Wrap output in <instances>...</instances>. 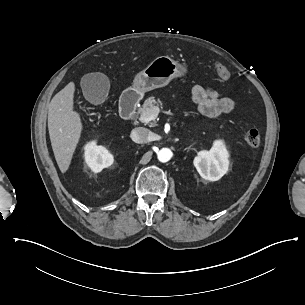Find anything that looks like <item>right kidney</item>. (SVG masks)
Returning <instances> with one entry per match:
<instances>
[{"mask_svg": "<svg viewBox=\"0 0 305 305\" xmlns=\"http://www.w3.org/2000/svg\"><path fill=\"white\" fill-rule=\"evenodd\" d=\"M86 163L94 171L99 172L113 162V157L103 147L88 145L85 155Z\"/></svg>", "mask_w": 305, "mask_h": 305, "instance_id": "ca27d5eb", "label": "right kidney"}]
</instances>
